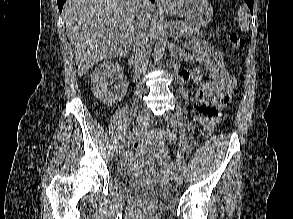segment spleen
<instances>
[{
    "label": "spleen",
    "instance_id": "1",
    "mask_svg": "<svg viewBox=\"0 0 293 219\" xmlns=\"http://www.w3.org/2000/svg\"><path fill=\"white\" fill-rule=\"evenodd\" d=\"M238 22L239 27L242 31H246L249 28V17L244 7L238 9Z\"/></svg>",
    "mask_w": 293,
    "mask_h": 219
}]
</instances>
